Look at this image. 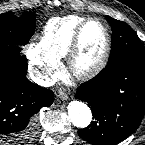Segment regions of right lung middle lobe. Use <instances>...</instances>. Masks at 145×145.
<instances>
[{"label":"right lung middle lobe","mask_w":145,"mask_h":145,"mask_svg":"<svg viewBox=\"0 0 145 145\" xmlns=\"http://www.w3.org/2000/svg\"><path fill=\"white\" fill-rule=\"evenodd\" d=\"M34 12L16 16L11 11L0 15V46L27 44L35 29Z\"/></svg>","instance_id":"obj_1"}]
</instances>
